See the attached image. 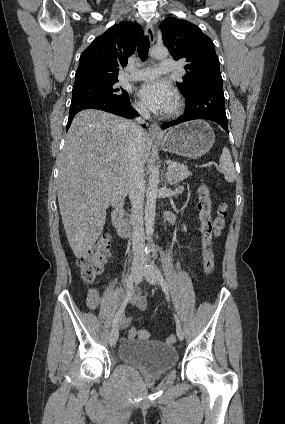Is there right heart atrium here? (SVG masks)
Instances as JSON below:
<instances>
[{
  "instance_id": "right-heart-atrium-1",
  "label": "right heart atrium",
  "mask_w": 285,
  "mask_h": 424,
  "mask_svg": "<svg viewBox=\"0 0 285 424\" xmlns=\"http://www.w3.org/2000/svg\"><path fill=\"white\" fill-rule=\"evenodd\" d=\"M135 109L141 114H144L146 112L144 106L139 102L135 103Z\"/></svg>"
}]
</instances>
